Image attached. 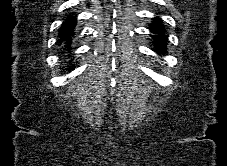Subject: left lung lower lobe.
I'll return each instance as SVG.
<instances>
[{
    "label": "left lung lower lobe",
    "instance_id": "1",
    "mask_svg": "<svg viewBox=\"0 0 227 166\" xmlns=\"http://www.w3.org/2000/svg\"><path fill=\"white\" fill-rule=\"evenodd\" d=\"M151 32L157 35H153V40L155 41V46L157 47L158 53H163L166 50V42H167V36L166 35H160L165 32V29L161 23V21L158 19L154 21L151 25Z\"/></svg>",
    "mask_w": 227,
    "mask_h": 166
}]
</instances>
